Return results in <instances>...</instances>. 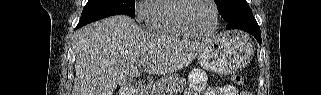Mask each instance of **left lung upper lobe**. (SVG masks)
Here are the masks:
<instances>
[{
	"mask_svg": "<svg viewBox=\"0 0 321 95\" xmlns=\"http://www.w3.org/2000/svg\"><path fill=\"white\" fill-rule=\"evenodd\" d=\"M225 21L244 13L252 12L246 0H214Z\"/></svg>",
	"mask_w": 321,
	"mask_h": 95,
	"instance_id": "obj_1",
	"label": "left lung upper lobe"
}]
</instances>
